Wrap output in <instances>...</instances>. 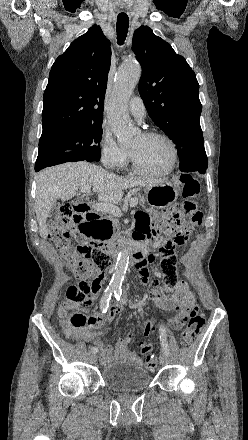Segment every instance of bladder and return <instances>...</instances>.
<instances>
[{"label": "bladder", "instance_id": "31cf9c89", "mask_svg": "<svg viewBox=\"0 0 248 440\" xmlns=\"http://www.w3.org/2000/svg\"><path fill=\"white\" fill-rule=\"evenodd\" d=\"M101 379L111 390L119 392L143 390L151 382L150 371L127 360H118L102 367Z\"/></svg>", "mask_w": 248, "mask_h": 440}]
</instances>
